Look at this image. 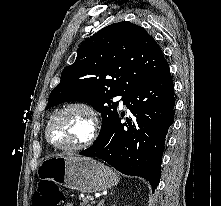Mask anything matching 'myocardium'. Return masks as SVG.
Segmentation results:
<instances>
[{
	"instance_id": "f54148a6",
	"label": "myocardium",
	"mask_w": 221,
	"mask_h": 206,
	"mask_svg": "<svg viewBox=\"0 0 221 206\" xmlns=\"http://www.w3.org/2000/svg\"><path fill=\"white\" fill-rule=\"evenodd\" d=\"M71 110H79L83 113H85L89 119V133L85 139L82 141L71 144V145H58L55 144L50 137V130L51 126L54 123V121L63 115L64 113L71 111ZM99 133V119L96 111L92 106H90L88 103L82 102V101H74L67 103L57 109L49 118L46 128H45V136L47 142L53 146L54 148L62 151H81L88 147H90L94 141L96 140Z\"/></svg>"
}]
</instances>
